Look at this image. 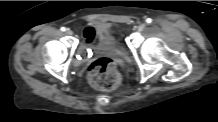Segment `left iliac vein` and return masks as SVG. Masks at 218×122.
Instances as JSON below:
<instances>
[{"instance_id":"left-iliac-vein-1","label":"left iliac vein","mask_w":218,"mask_h":122,"mask_svg":"<svg viewBox=\"0 0 218 122\" xmlns=\"http://www.w3.org/2000/svg\"><path fill=\"white\" fill-rule=\"evenodd\" d=\"M145 27H146V24L145 23H142V24H140L139 26H138V31H143L144 29H145Z\"/></svg>"}]
</instances>
